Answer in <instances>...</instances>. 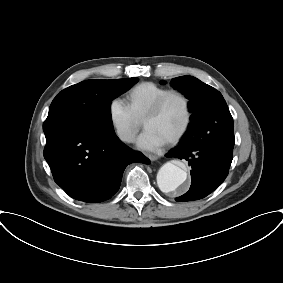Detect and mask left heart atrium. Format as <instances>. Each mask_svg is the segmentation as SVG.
I'll return each instance as SVG.
<instances>
[{
  "mask_svg": "<svg viewBox=\"0 0 283 283\" xmlns=\"http://www.w3.org/2000/svg\"><path fill=\"white\" fill-rule=\"evenodd\" d=\"M166 143V140L152 130L146 129L138 138L137 145L144 150H155Z\"/></svg>",
  "mask_w": 283,
  "mask_h": 283,
  "instance_id": "39dd6f15",
  "label": "left heart atrium"
}]
</instances>
